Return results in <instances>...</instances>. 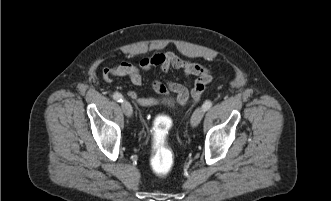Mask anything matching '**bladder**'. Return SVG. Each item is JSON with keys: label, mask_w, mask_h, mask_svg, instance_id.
<instances>
[{"label": "bladder", "mask_w": 331, "mask_h": 201, "mask_svg": "<svg viewBox=\"0 0 331 201\" xmlns=\"http://www.w3.org/2000/svg\"><path fill=\"white\" fill-rule=\"evenodd\" d=\"M161 104L172 114H178L182 109V104H180L174 97L165 96L161 99Z\"/></svg>", "instance_id": "bladder-1"}]
</instances>
